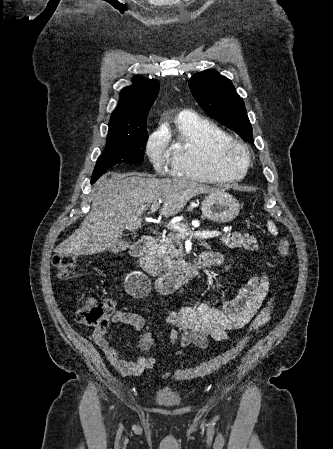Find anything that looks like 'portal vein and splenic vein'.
Instances as JSON below:
<instances>
[{
	"label": "portal vein and splenic vein",
	"mask_w": 333,
	"mask_h": 449,
	"mask_svg": "<svg viewBox=\"0 0 333 449\" xmlns=\"http://www.w3.org/2000/svg\"><path fill=\"white\" fill-rule=\"evenodd\" d=\"M161 203H162L161 200L153 203L150 207V213L156 212L159 209ZM168 227H170L173 230L182 232L185 235L189 236L190 238L195 237V238H199V239H208V238L218 237L220 235L219 231H195V232L190 231L189 232L185 228L184 224H179V223L168 224Z\"/></svg>",
	"instance_id": "1"
}]
</instances>
